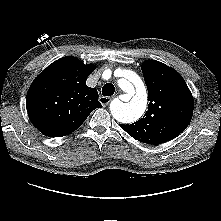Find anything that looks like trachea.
Instances as JSON below:
<instances>
[{
	"instance_id": "trachea-1",
	"label": "trachea",
	"mask_w": 221,
	"mask_h": 221,
	"mask_svg": "<svg viewBox=\"0 0 221 221\" xmlns=\"http://www.w3.org/2000/svg\"><path fill=\"white\" fill-rule=\"evenodd\" d=\"M114 92H115V88H114V85L111 83L105 84L102 88V94L104 96H111L114 94Z\"/></svg>"
}]
</instances>
